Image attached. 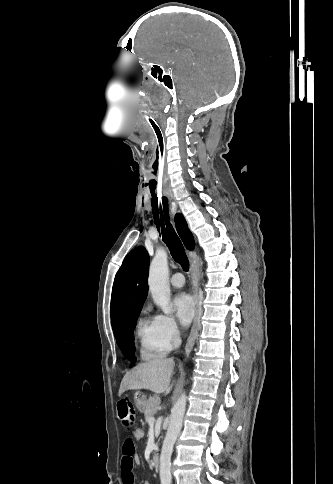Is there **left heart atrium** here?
I'll use <instances>...</instances> for the list:
<instances>
[{"instance_id":"obj_1","label":"left heart atrium","mask_w":333,"mask_h":484,"mask_svg":"<svg viewBox=\"0 0 333 484\" xmlns=\"http://www.w3.org/2000/svg\"><path fill=\"white\" fill-rule=\"evenodd\" d=\"M173 305L181 324L188 325L195 314L194 300L186 293H179L175 296Z\"/></svg>"}]
</instances>
